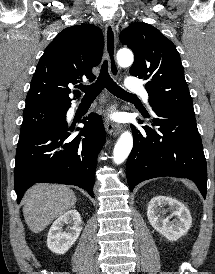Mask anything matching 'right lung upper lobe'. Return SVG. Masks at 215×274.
Returning <instances> with one entry per match:
<instances>
[{
	"mask_svg": "<svg viewBox=\"0 0 215 274\" xmlns=\"http://www.w3.org/2000/svg\"><path fill=\"white\" fill-rule=\"evenodd\" d=\"M103 52L102 31L92 24L71 26L61 31L47 46L36 67L24 110L40 107L69 108L68 86L87 78L95 79L91 69ZM79 96V92H74Z\"/></svg>",
	"mask_w": 215,
	"mask_h": 274,
	"instance_id": "cb5924a9",
	"label": "right lung upper lobe"
}]
</instances>
